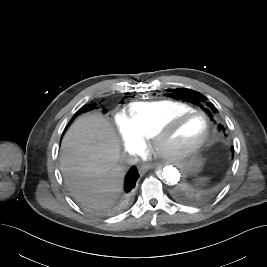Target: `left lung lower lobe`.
<instances>
[{
	"label": "left lung lower lobe",
	"instance_id": "0a47b994",
	"mask_svg": "<svg viewBox=\"0 0 267 267\" xmlns=\"http://www.w3.org/2000/svg\"><path fill=\"white\" fill-rule=\"evenodd\" d=\"M234 148L228 145H221L216 150V156L213 161L201 167L197 171V179L201 183H208L219 175H225L230 170Z\"/></svg>",
	"mask_w": 267,
	"mask_h": 267
}]
</instances>
